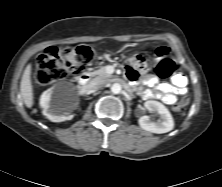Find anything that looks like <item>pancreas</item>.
<instances>
[{
  "label": "pancreas",
  "instance_id": "pancreas-1",
  "mask_svg": "<svg viewBox=\"0 0 222 187\" xmlns=\"http://www.w3.org/2000/svg\"><path fill=\"white\" fill-rule=\"evenodd\" d=\"M93 75L104 78V79H108V78L112 77V75H110L106 72V66L101 67L99 70L94 71Z\"/></svg>",
  "mask_w": 222,
  "mask_h": 187
}]
</instances>
